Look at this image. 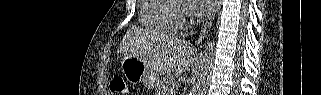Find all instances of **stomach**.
Wrapping results in <instances>:
<instances>
[{
  "label": "stomach",
  "instance_id": "0dacf381",
  "mask_svg": "<svg viewBox=\"0 0 321 95\" xmlns=\"http://www.w3.org/2000/svg\"><path fill=\"white\" fill-rule=\"evenodd\" d=\"M121 70L130 83H143L148 88H153L158 81V73L140 59L132 56H124L121 60Z\"/></svg>",
  "mask_w": 321,
  "mask_h": 95
}]
</instances>
